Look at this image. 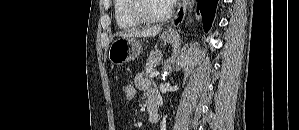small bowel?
Returning <instances> with one entry per match:
<instances>
[{
	"label": "small bowel",
	"mask_w": 299,
	"mask_h": 130,
	"mask_svg": "<svg viewBox=\"0 0 299 130\" xmlns=\"http://www.w3.org/2000/svg\"><path fill=\"white\" fill-rule=\"evenodd\" d=\"M135 84L139 89L148 91V95L154 94V91L151 88V81L146 77L144 73H140L135 77ZM150 120V119H149ZM156 120H150L152 123H156Z\"/></svg>",
	"instance_id": "obj_1"
}]
</instances>
